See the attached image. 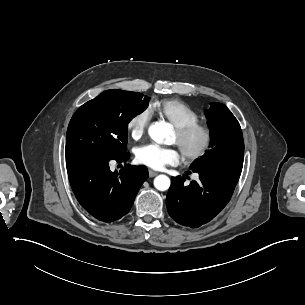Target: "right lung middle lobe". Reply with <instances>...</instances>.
<instances>
[{
  "label": "right lung middle lobe",
  "mask_w": 305,
  "mask_h": 305,
  "mask_svg": "<svg viewBox=\"0 0 305 305\" xmlns=\"http://www.w3.org/2000/svg\"><path fill=\"white\" fill-rule=\"evenodd\" d=\"M138 92L107 90L82 105L67 129L66 157L111 159L126 152L128 123L147 107Z\"/></svg>",
  "instance_id": "obj_1"
}]
</instances>
